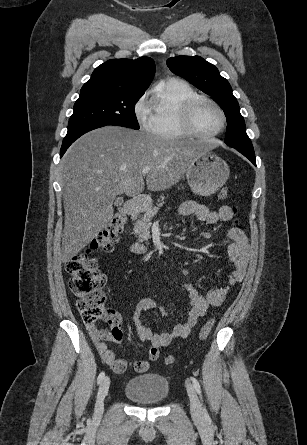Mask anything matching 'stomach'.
I'll use <instances>...</instances> for the list:
<instances>
[{
  "instance_id": "0dacf381",
  "label": "stomach",
  "mask_w": 307,
  "mask_h": 445,
  "mask_svg": "<svg viewBox=\"0 0 307 445\" xmlns=\"http://www.w3.org/2000/svg\"><path fill=\"white\" fill-rule=\"evenodd\" d=\"M230 174L229 166L215 152H201L186 170L187 182L194 194L210 196L217 192Z\"/></svg>"
}]
</instances>
